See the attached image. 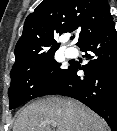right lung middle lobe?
Wrapping results in <instances>:
<instances>
[{
    "label": "right lung middle lobe",
    "instance_id": "1",
    "mask_svg": "<svg viewBox=\"0 0 117 131\" xmlns=\"http://www.w3.org/2000/svg\"><path fill=\"white\" fill-rule=\"evenodd\" d=\"M60 66L52 53L35 63L12 69L8 89L10 110L60 89L68 71V68L62 69Z\"/></svg>",
    "mask_w": 117,
    "mask_h": 131
}]
</instances>
